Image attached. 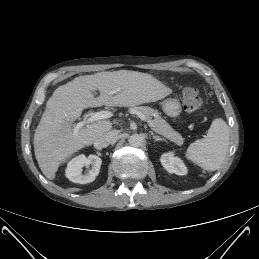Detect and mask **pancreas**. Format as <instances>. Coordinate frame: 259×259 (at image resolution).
I'll list each match as a JSON object with an SVG mask.
<instances>
[{"label":"pancreas","instance_id":"obj_1","mask_svg":"<svg viewBox=\"0 0 259 259\" xmlns=\"http://www.w3.org/2000/svg\"><path fill=\"white\" fill-rule=\"evenodd\" d=\"M132 112H141L145 115L150 128L156 133L162 135L171 142L181 146L184 143V138L176 132L160 115L157 110L148 106L133 107ZM154 116V119H152Z\"/></svg>","mask_w":259,"mask_h":259}]
</instances>
